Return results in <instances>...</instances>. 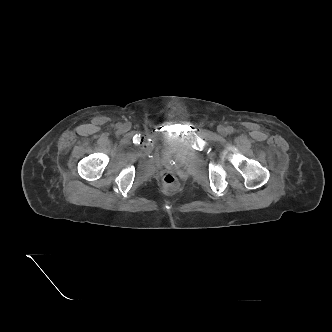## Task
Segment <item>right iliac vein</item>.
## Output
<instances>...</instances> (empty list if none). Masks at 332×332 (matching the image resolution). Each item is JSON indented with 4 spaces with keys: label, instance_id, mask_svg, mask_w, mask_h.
<instances>
[{
    "label": "right iliac vein",
    "instance_id": "1",
    "mask_svg": "<svg viewBox=\"0 0 332 332\" xmlns=\"http://www.w3.org/2000/svg\"><path fill=\"white\" fill-rule=\"evenodd\" d=\"M131 128V125L129 123H125L123 126H122V130L123 131H128L130 130Z\"/></svg>",
    "mask_w": 332,
    "mask_h": 332
}]
</instances>
